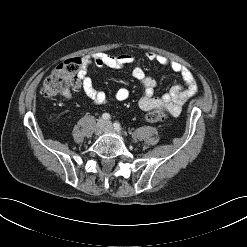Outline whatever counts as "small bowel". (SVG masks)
Listing matches in <instances>:
<instances>
[{"label": "small bowel", "mask_w": 247, "mask_h": 247, "mask_svg": "<svg viewBox=\"0 0 247 247\" xmlns=\"http://www.w3.org/2000/svg\"><path fill=\"white\" fill-rule=\"evenodd\" d=\"M146 58L149 61L157 62L180 74L182 83L173 86L161 97H157L155 95L156 81L147 76L140 66L134 67L132 75L142 87V96L139 100L140 108L144 111H150L156 107H163L171 116H178L185 102L198 91V85L192 72L181 63L156 52H147ZM134 61L135 58L131 54L114 56L105 52H96L83 56L80 60L79 80L86 97L96 105H105L108 102V96L94 87L93 81L88 75V70L91 65L94 64L101 68L120 69L132 64ZM129 95L130 93L127 88H119L115 92L114 97L117 101L123 102L129 98Z\"/></svg>", "instance_id": "c3829d8e"}]
</instances>
